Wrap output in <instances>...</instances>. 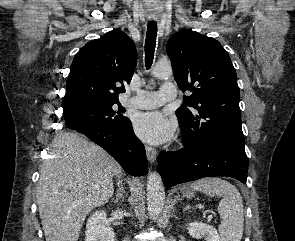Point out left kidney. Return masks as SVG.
Instances as JSON below:
<instances>
[{
  "label": "left kidney",
  "mask_w": 295,
  "mask_h": 241,
  "mask_svg": "<svg viewBox=\"0 0 295 241\" xmlns=\"http://www.w3.org/2000/svg\"><path fill=\"white\" fill-rule=\"evenodd\" d=\"M188 233L194 238H204L206 241H221L213 226L202 222H192L187 224Z\"/></svg>",
  "instance_id": "5707ae66"
}]
</instances>
